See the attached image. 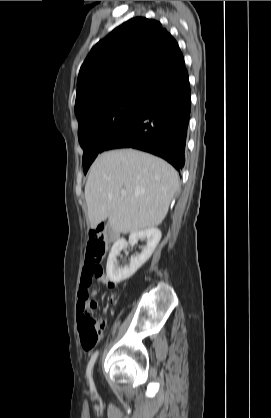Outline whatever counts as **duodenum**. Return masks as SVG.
Wrapping results in <instances>:
<instances>
[{"instance_id": "obj_1", "label": "duodenum", "mask_w": 271, "mask_h": 418, "mask_svg": "<svg viewBox=\"0 0 271 418\" xmlns=\"http://www.w3.org/2000/svg\"><path fill=\"white\" fill-rule=\"evenodd\" d=\"M116 238H117V237H116V235H112V236H111V239H112V240H115Z\"/></svg>"}]
</instances>
